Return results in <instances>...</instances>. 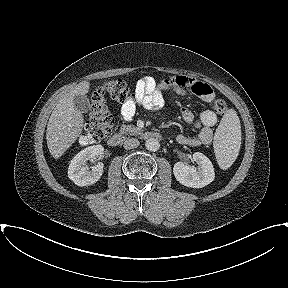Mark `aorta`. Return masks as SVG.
<instances>
[{"instance_id":"1","label":"aorta","mask_w":288,"mask_h":288,"mask_svg":"<svg viewBox=\"0 0 288 288\" xmlns=\"http://www.w3.org/2000/svg\"><path fill=\"white\" fill-rule=\"evenodd\" d=\"M145 147L149 151H157L160 147V144L157 139L149 138L145 141Z\"/></svg>"}]
</instances>
